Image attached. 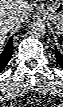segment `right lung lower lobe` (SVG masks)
<instances>
[{"mask_svg": "<svg viewBox=\"0 0 63 107\" xmlns=\"http://www.w3.org/2000/svg\"><path fill=\"white\" fill-rule=\"evenodd\" d=\"M12 37L9 39L7 45L5 46L2 53H0V72L5 68L8 64L9 60L12 57Z\"/></svg>", "mask_w": 63, "mask_h": 107, "instance_id": "right-lung-lower-lobe-1", "label": "right lung lower lobe"}]
</instances>
